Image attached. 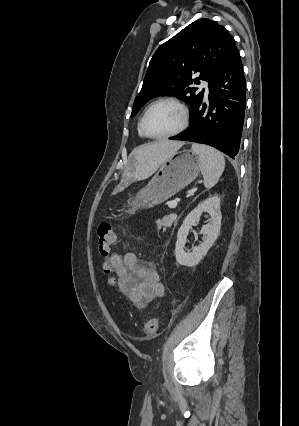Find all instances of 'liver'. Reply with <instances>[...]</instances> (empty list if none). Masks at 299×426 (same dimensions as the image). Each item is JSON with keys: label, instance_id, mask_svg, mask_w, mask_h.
<instances>
[{"label": "liver", "instance_id": "liver-1", "mask_svg": "<svg viewBox=\"0 0 299 426\" xmlns=\"http://www.w3.org/2000/svg\"><path fill=\"white\" fill-rule=\"evenodd\" d=\"M183 145L181 141L161 140L137 147L132 153L134 176L136 178L151 176Z\"/></svg>", "mask_w": 299, "mask_h": 426}]
</instances>
